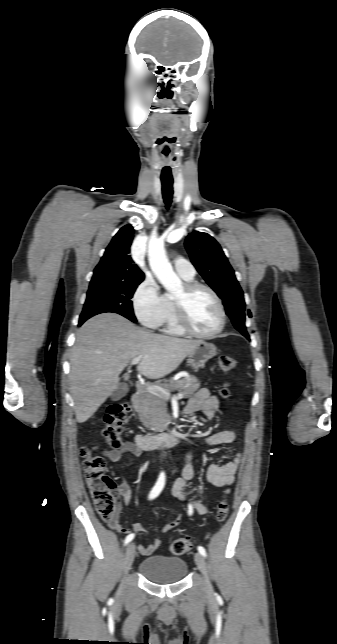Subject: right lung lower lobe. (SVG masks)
Instances as JSON below:
<instances>
[{"label":"right lung lower lobe","mask_w":337,"mask_h":644,"mask_svg":"<svg viewBox=\"0 0 337 644\" xmlns=\"http://www.w3.org/2000/svg\"><path fill=\"white\" fill-rule=\"evenodd\" d=\"M82 324H83V322H79L78 326H81Z\"/></svg>","instance_id":"98d812e1"}]
</instances>
